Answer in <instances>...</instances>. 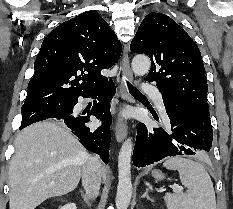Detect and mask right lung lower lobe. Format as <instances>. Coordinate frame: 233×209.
<instances>
[{
    "label": "right lung lower lobe",
    "mask_w": 233,
    "mask_h": 209,
    "mask_svg": "<svg viewBox=\"0 0 233 209\" xmlns=\"http://www.w3.org/2000/svg\"><path fill=\"white\" fill-rule=\"evenodd\" d=\"M115 85L112 80H109L106 84L96 89L95 91L83 95V97L96 98L98 95V103L95 101L91 111L87 112V115L82 113L79 115L73 114V108L77 104V98L73 100L71 110L62 116H56L50 118V121H58L62 124H66L75 134L80 143L88 150L98 153L104 163H108L109 148H110V124L111 113L109 111V105L112 97L115 95ZM91 115L102 121V125L96 130H91L85 124L88 123ZM25 127L20 126V130Z\"/></svg>",
    "instance_id": "98d812e1"
}]
</instances>
